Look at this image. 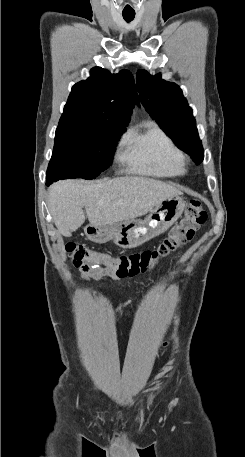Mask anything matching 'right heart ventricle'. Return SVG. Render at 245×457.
<instances>
[{"mask_svg": "<svg viewBox=\"0 0 245 457\" xmlns=\"http://www.w3.org/2000/svg\"><path fill=\"white\" fill-rule=\"evenodd\" d=\"M121 152L137 171L152 176L174 177L184 173V161L169 135L155 122L130 126L123 135Z\"/></svg>", "mask_w": 245, "mask_h": 457, "instance_id": "1", "label": "right heart ventricle"}]
</instances>
